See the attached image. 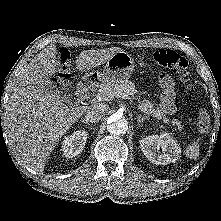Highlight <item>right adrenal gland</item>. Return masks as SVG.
Segmentation results:
<instances>
[{
	"label": "right adrenal gland",
	"mask_w": 221,
	"mask_h": 221,
	"mask_svg": "<svg viewBox=\"0 0 221 221\" xmlns=\"http://www.w3.org/2000/svg\"><path fill=\"white\" fill-rule=\"evenodd\" d=\"M82 122L85 123L86 125H90V123L87 120H85V119H83Z\"/></svg>",
	"instance_id": "2a0ac1e0"
}]
</instances>
